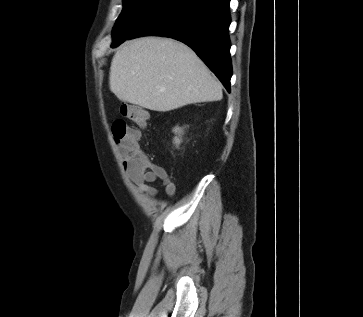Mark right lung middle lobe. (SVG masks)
Wrapping results in <instances>:
<instances>
[{"mask_svg":"<svg viewBox=\"0 0 363 317\" xmlns=\"http://www.w3.org/2000/svg\"><path fill=\"white\" fill-rule=\"evenodd\" d=\"M179 0H123L113 29L112 47L130 37L141 25Z\"/></svg>","mask_w":363,"mask_h":317,"instance_id":"dd1d6c3e","label":"right lung middle lobe"}]
</instances>
